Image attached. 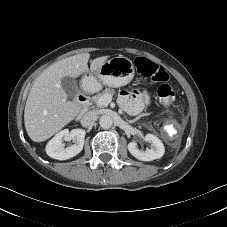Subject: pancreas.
<instances>
[{"label": "pancreas", "instance_id": "obj_1", "mask_svg": "<svg viewBox=\"0 0 227 227\" xmlns=\"http://www.w3.org/2000/svg\"><path fill=\"white\" fill-rule=\"evenodd\" d=\"M105 94L113 95L114 94V90L113 89L106 88L101 93H98L97 95H95V96L92 97V101L96 104V106L98 108H102V107L105 106V105H101V104L98 103L99 99L102 98Z\"/></svg>", "mask_w": 227, "mask_h": 227}]
</instances>
